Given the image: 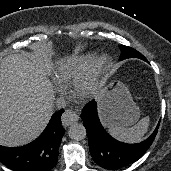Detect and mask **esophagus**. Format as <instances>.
<instances>
[{
    "label": "esophagus",
    "mask_w": 171,
    "mask_h": 171,
    "mask_svg": "<svg viewBox=\"0 0 171 171\" xmlns=\"http://www.w3.org/2000/svg\"><path fill=\"white\" fill-rule=\"evenodd\" d=\"M80 119L79 115L72 109H67L61 117L62 124L69 126Z\"/></svg>",
    "instance_id": "obj_1"
}]
</instances>
